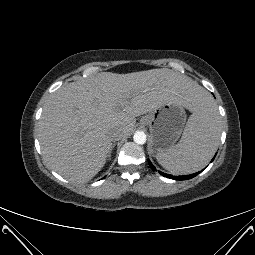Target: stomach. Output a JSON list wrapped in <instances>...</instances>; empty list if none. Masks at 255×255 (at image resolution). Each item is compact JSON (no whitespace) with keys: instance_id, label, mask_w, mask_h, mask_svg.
Returning a JSON list of instances; mask_svg holds the SVG:
<instances>
[{"instance_id":"1","label":"stomach","mask_w":255,"mask_h":255,"mask_svg":"<svg viewBox=\"0 0 255 255\" xmlns=\"http://www.w3.org/2000/svg\"><path fill=\"white\" fill-rule=\"evenodd\" d=\"M151 111L153 121L149 126V151L157 156L176 143L182 133L186 113L184 106L176 101H165Z\"/></svg>"}]
</instances>
